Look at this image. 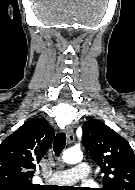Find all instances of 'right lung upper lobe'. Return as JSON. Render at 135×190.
Here are the masks:
<instances>
[{"label":"right lung upper lobe","mask_w":135,"mask_h":190,"mask_svg":"<svg viewBox=\"0 0 135 190\" xmlns=\"http://www.w3.org/2000/svg\"><path fill=\"white\" fill-rule=\"evenodd\" d=\"M54 130L44 120L25 122L0 144V185L34 186L31 179L39 162L48 150Z\"/></svg>","instance_id":"cb5924a9"}]
</instances>
